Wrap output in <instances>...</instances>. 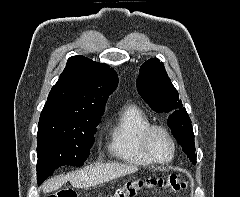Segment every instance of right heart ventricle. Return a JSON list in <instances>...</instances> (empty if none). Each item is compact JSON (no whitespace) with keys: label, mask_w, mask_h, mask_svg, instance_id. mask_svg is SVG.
<instances>
[{"label":"right heart ventricle","mask_w":240,"mask_h":197,"mask_svg":"<svg viewBox=\"0 0 240 197\" xmlns=\"http://www.w3.org/2000/svg\"><path fill=\"white\" fill-rule=\"evenodd\" d=\"M150 124L148 115L140 107L128 105L122 108L108 129L110 155L136 166L152 165L141 146V134Z\"/></svg>","instance_id":"obj_1"}]
</instances>
